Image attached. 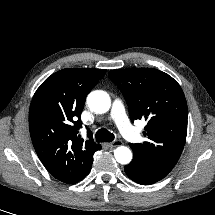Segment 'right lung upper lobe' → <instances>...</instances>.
<instances>
[{
	"instance_id": "1",
	"label": "right lung upper lobe",
	"mask_w": 215,
	"mask_h": 215,
	"mask_svg": "<svg viewBox=\"0 0 215 215\" xmlns=\"http://www.w3.org/2000/svg\"><path fill=\"white\" fill-rule=\"evenodd\" d=\"M105 69L67 68L49 76L35 92L29 110V129L41 162L56 179L73 184L91 169L99 144L77 135L88 93Z\"/></svg>"
}]
</instances>
